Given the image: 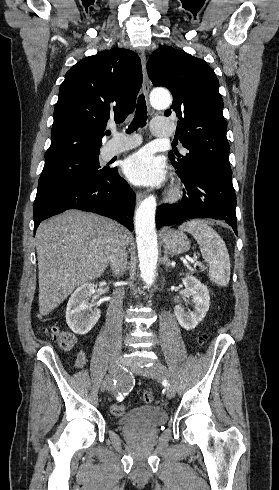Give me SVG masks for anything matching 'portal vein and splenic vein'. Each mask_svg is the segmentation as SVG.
Masks as SVG:
<instances>
[{"label": "portal vein and splenic vein", "mask_w": 279, "mask_h": 490, "mask_svg": "<svg viewBox=\"0 0 279 490\" xmlns=\"http://www.w3.org/2000/svg\"><path fill=\"white\" fill-rule=\"evenodd\" d=\"M195 264H197V266H200L199 262H196V260H194Z\"/></svg>", "instance_id": "1"}]
</instances>
